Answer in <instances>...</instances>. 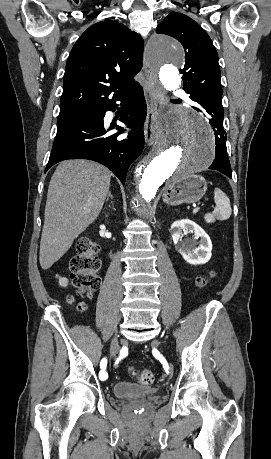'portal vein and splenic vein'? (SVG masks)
Wrapping results in <instances>:
<instances>
[{"label":"portal vein and splenic vein","instance_id":"portal-vein-and-splenic-vein-1","mask_svg":"<svg viewBox=\"0 0 271 459\" xmlns=\"http://www.w3.org/2000/svg\"><path fill=\"white\" fill-rule=\"evenodd\" d=\"M198 210H200V208H195V210H193V214H196V212H198Z\"/></svg>","mask_w":271,"mask_h":459}]
</instances>
